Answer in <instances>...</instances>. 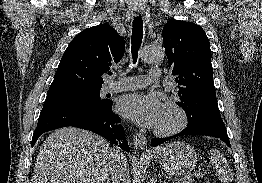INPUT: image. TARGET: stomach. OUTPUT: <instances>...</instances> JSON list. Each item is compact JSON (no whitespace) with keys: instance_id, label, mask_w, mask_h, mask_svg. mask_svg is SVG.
<instances>
[{"instance_id":"0dacf381","label":"stomach","mask_w":262,"mask_h":183,"mask_svg":"<svg viewBox=\"0 0 262 183\" xmlns=\"http://www.w3.org/2000/svg\"><path fill=\"white\" fill-rule=\"evenodd\" d=\"M152 156L164 170L177 175L189 173L197 163L194 148L181 141L162 145L154 150Z\"/></svg>"}]
</instances>
